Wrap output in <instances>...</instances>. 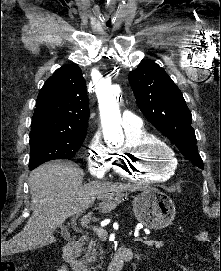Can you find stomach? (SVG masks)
<instances>
[{
  "mask_svg": "<svg viewBox=\"0 0 221 271\" xmlns=\"http://www.w3.org/2000/svg\"><path fill=\"white\" fill-rule=\"evenodd\" d=\"M133 211L137 221L149 229H164L175 217V205L161 191L144 189L133 199Z\"/></svg>",
  "mask_w": 221,
  "mask_h": 271,
  "instance_id": "obj_1",
  "label": "stomach"
}]
</instances>
